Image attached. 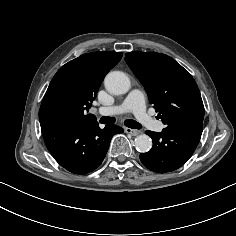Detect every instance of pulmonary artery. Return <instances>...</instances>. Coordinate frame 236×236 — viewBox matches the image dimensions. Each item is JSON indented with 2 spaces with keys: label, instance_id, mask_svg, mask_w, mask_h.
<instances>
[{
  "label": "pulmonary artery",
  "instance_id": "pulmonary-artery-1",
  "mask_svg": "<svg viewBox=\"0 0 236 236\" xmlns=\"http://www.w3.org/2000/svg\"><path fill=\"white\" fill-rule=\"evenodd\" d=\"M97 112L105 116L132 112L141 123H152V118L146 112L144 94L138 89L130 91L121 105L101 106L97 109ZM161 129L162 125L159 124L158 130Z\"/></svg>",
  "mask_w": 236,
  "mask_h": 236
}]
</instances>
